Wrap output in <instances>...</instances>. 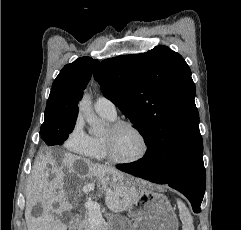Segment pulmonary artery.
Masks as SVG:
<instances>
[{
  "mask_svg": "<svg viewBox=\"0 0 241 230\" xmlns=\"http://www.w3.org/2000/svg\"><path fill=\"white\" fill-rule=\"evenodd\" d=\"M95 110L102 115L115 119L117 115L115 104L107 97L101 96L95 101Z\"/></svg>",
  "mask_w": 241,
  "mask_h": 230,
  "instance_id": "pulmonary-artery-1",
  "label": "pulmonary artery"
}]
</instances>
